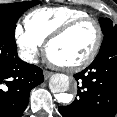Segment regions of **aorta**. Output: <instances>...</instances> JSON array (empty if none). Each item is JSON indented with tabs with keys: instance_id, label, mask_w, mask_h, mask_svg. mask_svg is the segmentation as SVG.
Here are the masks:
<instances>
[{
	"instance_id": "1",
	"label": "aorta",
	"mask_w": 117,
	"mask_h": 117,
	"mask_svg": "<svg viewBox=\"0 0 117 117\" xmlns=\"http://www.w3.org/2000/svg\"><path fill=\"white\" fill-rule=\"evenodd\" d=\"M70 84V78L65 74H55L50 78L49 86L58 102L68 104L72 101V95L66 93Z\"/></svg>"
}]
</instances>
